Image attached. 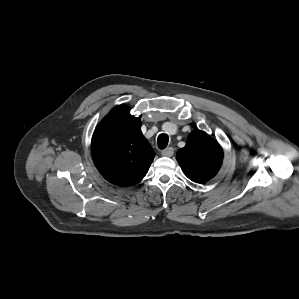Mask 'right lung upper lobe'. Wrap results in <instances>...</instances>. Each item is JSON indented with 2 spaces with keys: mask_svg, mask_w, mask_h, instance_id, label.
<instances>
[{
  "mask_svg": "<svg viewBox=\"0 0 299 299\" xmlns=\"http://www.w3.org/2000/svg\"><path fill=\"white\" fill-rule=\"evenodd\" d=\"M141 121L126 106L112 110L96 127L91 153L95 166L110 183L125 187L146 175L155 152L141 132Z\"/></svg>",
  "mask_w": 299,
  "mask_h": 299,
  "instance_id": "1",
  "label": "right lung upper lobe"
}]
</instances>
